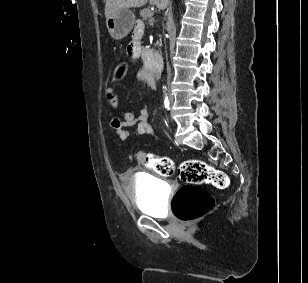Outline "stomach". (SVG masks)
<instances>
[{"mask_svg":"<svg viewBox=\"0 0 308 283\" xmlns=\"http://www.w3.org/2000/svg\"><path fill=\"white\" fill-rule=\"evenodd\" d=\"M134 21V13L128 8H123L106 18V26L113 39L121 40L131 32Z\"/></svg>","mask_w":308,"mask_h":283,"instance_id":"1","label":"stomach"}]
</instances>
